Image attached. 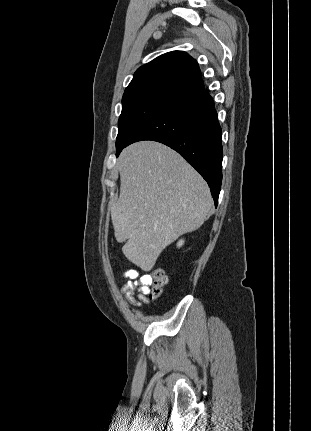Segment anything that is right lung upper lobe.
I'll list each match as a JSON object with an SVG mask.
<instances>
[{
    "label": "right lung upper lobe",
    "mask_w": 311,
    "mask_h": 431,
    "mask_svg": "<svg viewBox=\"0 0 311 431\" xmlns=\"http://www.w3.org/2000/svg\"><path fill=\"white\" fill-rule=\"evenodd\" d=\"M150 88L181 97L204 88V84L197 62L185 52L172 51L137 69L124 94Z\"/></svg>",
    "instance_id": "1"
}]
</instances>
